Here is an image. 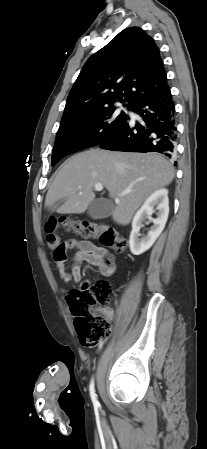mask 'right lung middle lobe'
I'll return each mask as SVG.
<instances>
[{
	"label": "right lung middle lobe",
	"instance_id": "1",
	"mask_svg": "<svg viewBox=\"0 0 207 449\" xmlns=\"http://www.w3.org/2000/svg\"><path fill=\"white\" fill-rule=\"evenodd\" d=\"M115 108L69 117L61 120L52 152V166L66 155L99 145L111 137L127 121L121 112L114 114Z\"/></svg>",
	"mask_w": 207,
	"mask_h": 449
}]
</instances>
